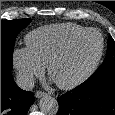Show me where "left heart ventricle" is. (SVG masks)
Here are the masks:
<instances>
[{"mask_svg": "<svg viewBox=\"0 0 115 115\" xmlns=\"http://www.w3.org/2000/svg\"><path fill=\"white\" fill-rule=\"evenodd\" d=\"M100 49V38L96 33H88L80 38L68 56L56 66L54 78L68 81L85 71L95 60Z\"/></svg>", "mask_w": 115, "mask_h": 115, "instance_id": "b2bd125f", "label": "left heart ventricle"}]
</instances>
